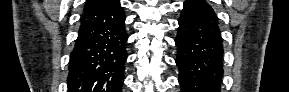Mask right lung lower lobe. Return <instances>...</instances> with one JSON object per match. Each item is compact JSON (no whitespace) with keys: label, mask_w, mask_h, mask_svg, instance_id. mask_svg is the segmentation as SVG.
Instances as JSON below:
<instances>
[{"label":"right lung lower lobe","mask_w":289,"mask_h":92,"mask_svg":"<svg viewBox=\"0 0 289 92\" xmlns=\"http://www.w3.org/2000/svg\"><path fill=\"white\" fill-rule=\"evenodd\" d=\"M127 38L119 0L84 10L70 56L68 90L121 92Z\"/></svg>","instance_id":"1"}]
</instances>
